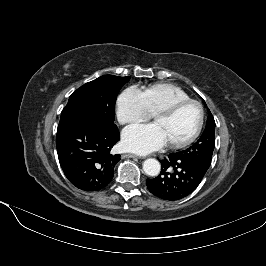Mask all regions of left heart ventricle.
I'll list each match as a JSON object with an SVG mask.
<instances>
[{
	"label": "left heart ventricle",
	"instance_id": "b2bd125f",
	"mask_svg": "<svg viewBox=\"0 0 266 266\" xmlns=\"http://www.w3.org/2000/svg\"><path fill=\"white\" fill-rule=\"evenodd\" d=\"M199 120V111L194 104L181 107L174 114L159 117L154 121L167 143L181 141L192 134Z\"/></svg>",
	"mask_w": 266,
	"mask_h": 266
}]
</instances>
